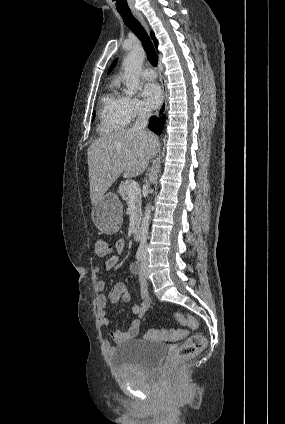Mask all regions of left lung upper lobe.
I'll list each match as a JSON object with an SVG mask.
<instances>
[{
    "instance_id": "5c2ea615",
    "label": "left lung upper lobe",
    "mask_w": 285,
    "mask_h": 424,
    "mask_svg": "<svg viewBox=\"0 0 285 424\" xmlns=\"http://www.w3.org/2000/svg\"><path fill=\"white\" fill-rule=\"evenodd\" d=\"M116 63H117V60H115V61L112 63V65H111V66H110V68H109L108 73H110V72H111V70L114 68V66L116 65Z\"/></svg>"
}]
</instances>
